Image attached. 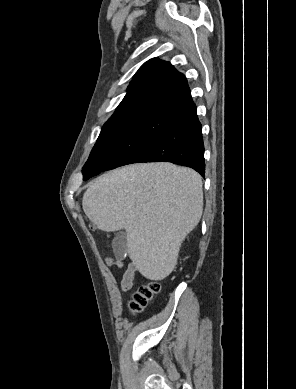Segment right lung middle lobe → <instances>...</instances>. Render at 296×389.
<instances>
[{"label":"right lung middle lobe","mask_w":296,"mask_h":389,"mask_svg":"<svg viewBox=\"0 0 296 389\" xmlns=\"http://www.w3.org/2000/svg\"><path fill=\"white\" fill-rule=\"evenodd\" d=\"M176 119L143 114L126 119H109L103 126L84 168L102 172L139 163Z\"/></svg>","instance_id":"right-lung-middle-lobe-1"}]
</instances>
